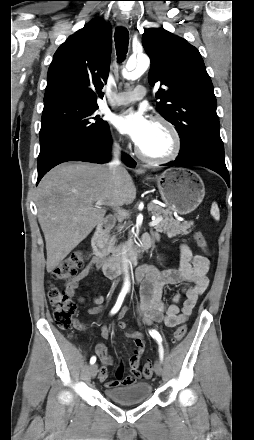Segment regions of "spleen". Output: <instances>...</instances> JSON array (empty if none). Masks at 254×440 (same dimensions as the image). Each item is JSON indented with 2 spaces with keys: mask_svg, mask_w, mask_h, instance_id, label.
Here are the masks:
<instances>
[{
  "mask_svg": "<svg viewBox=\"0 0 254 440\" xmlns=\"http://www.w3.org/2000/svg\"><path fill=\"white\" fill-rule=\"evenodd\" d=\"M211 214L212 216L216 219L219 220V209L216 203H213L212 208H211Z\"/></svg>",
  "mask_w": 254,
  "mask_h": 440,
  "instance_id": "1",
  "label": "spleen"
}]
</instances>
